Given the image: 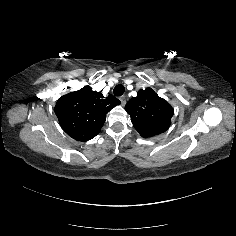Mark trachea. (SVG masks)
Segmentation results:
<instances>
[{
    "mask_svg": "<svg viewBox=\"0 0 236 236\" xmlns=\"http://www.w3.org/2000/svg\"><path fill=\"white\" fill-rule=\"evenodd\" d=\"M124 92H125V88H124V85L122 84L116 85L115 88L113 89V93L117 97L123 95Z\"/></svg>",
    "mask_w": 236,
    "mask_h": 236,
    "instance_id": "1",
    "label": "trachea"
}]
</instances>
